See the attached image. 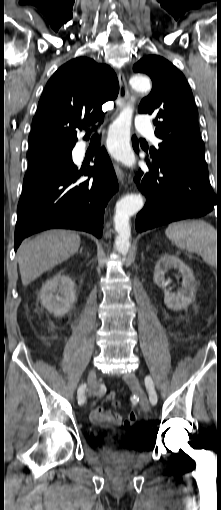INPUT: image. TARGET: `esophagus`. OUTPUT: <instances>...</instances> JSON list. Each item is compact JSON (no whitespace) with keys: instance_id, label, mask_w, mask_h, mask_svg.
<instances>
[{"instance_id":"1","label":"esophagus","mask_w":221,"mask_h":510,"mask_svg":"<svg viewBox=\"0 0 221 510\" xmlns=\"http://www.w3.org/2000/svg\"><path fill=\"white\" fill-rule=\"evenodd\" d=\"M118 81H119V93L116 99L117 107L116 113H118L119 111L126 107L129 98L127 82L125 80L124 75L121 72L118 74ZM114 169L118 180L122 183L124 180V172L117 164H114Z\"/></svg>"}]
</instances>
